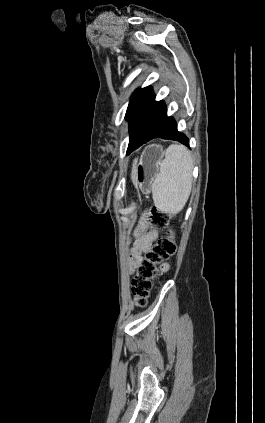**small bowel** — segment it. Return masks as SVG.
Instances as JSON below:
<instances>
[{
    "mask_svg": "<svg viewBox=\"0 0 265 423\" xmlns=\"http://www.w3.org/2000/svg\"><path fill=\"white\" fill-rule=\"evenodd\" d=\"M158 232L156 230H149L144 232L142 235L137 236L134 247L132 248L128 256V268L131 273H134L138 264L140 263L147 248L157 239ZM168 269V265L165 264L161 268L162 271Z\"/></svg>",
    "mask_w": 265,
    "mask_h": 423,
    "instance_id": "obj_1",
    "label": "small bowel"
}]
</instances>
